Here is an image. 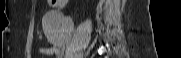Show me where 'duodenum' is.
<instances>
[{
  "label": "duodenum",
  "mask_w": 181,
  "mask_h": 58,
  "mask_svg": "<svg viewBox=\"0 0 181 58\" xmlns=\"http://www.w3.org/2000/svg\"><path fill=\"white\" fill-rule=\"evenodd\" d=\"M65 0H57L56 3L59 5H64L65 4Z\"/></svg>",
  "instance_id": "1"
}]
</instances>
